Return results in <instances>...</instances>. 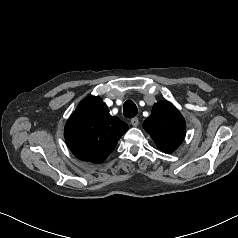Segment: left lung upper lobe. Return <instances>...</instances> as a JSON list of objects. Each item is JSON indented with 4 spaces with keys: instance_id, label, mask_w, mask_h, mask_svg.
<instances>
[{
    "instance_id": "5c2ea615",
    "label": "left lung upper lobe",
    "mask_w": 238,
    "mask_h": 238,
    "mask_svg": "<svg viewBox=\"0 0 238 238\" xmlns=\"http://www.w3.org/2000/svg\"><path fill=\"white\" fill-rule=\"evenodd\" d=\"M157 147L165 152H174L184 140L186 124L181 113L168 101L154 104L151 115L143 123Z\"/></svg>"
}]
</instances>
